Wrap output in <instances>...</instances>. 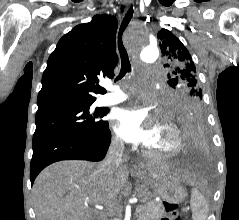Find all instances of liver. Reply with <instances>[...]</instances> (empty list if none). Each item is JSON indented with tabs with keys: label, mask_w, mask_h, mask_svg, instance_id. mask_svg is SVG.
<instances>
[{
	"label": "liver",
	"mask_w": 239,
	"mask_h": 220,
	"mask_svg": "<svg viewBox=\"0 0 239 220\" xmlns=\"http://www.w3.org/2000/svg\"><path fill=\"white\" fill-rule=\"evenodd\" d=\"M149 176L162 177L158 171H150ZM128 177L125 166L107 173L101 169V163L81 160L54 163L38 175L33 185L37 220H90L91 204L112 210ZM171 177L192 184L187 172L176 170Z\"/></svg>",
	"instance_id": "liver-1"
}]
</instances>
